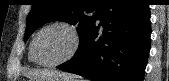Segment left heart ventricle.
Listing matches in <instances>:
<instances>
[{
    "instance_id": "obj_1",
    "label": "left heart ventricle",
    "mask_w": 169,
    "mask_h": 81,
    "mask_svg": "<svg viewBox=\"0 0 169 81\" xmlns=\"http://www.w3.org/2000/svg\"><path fill=\"white\" fill-rule=\"evenodd\" d=\"M73 45L71 34L64 28L55 27L43 32L37 41V54L41 61L52 63L68 54Z\"/></svg>"
}]
</instances>
